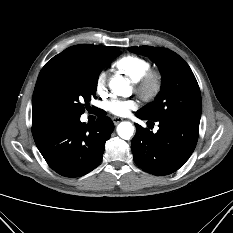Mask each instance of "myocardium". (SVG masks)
<instances>
[{
  "label": "myocardium",
  "mask_w": 233,
  "mask_h": 233,
  "mask_svg": "<svg viewBox=\"0 0 233 233\" xmlns=\"http://www.w3.org/2000/svg\"><path fill=\"white\" fill-rule=\"evenodd\" d=\"M134 83L135 91L144 101L154 99L162 86V74L159 70L149 69Z\"/></svg>",
  "instance_id": "obj_1"
}]
</instances>
